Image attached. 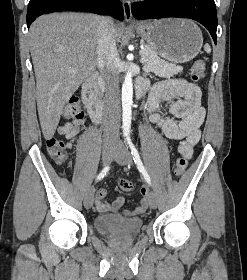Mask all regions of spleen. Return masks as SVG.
<instances>
[{
	"label": "spleen",
	"instance_id": "3e777b00",
	"mask_svg": "<svg viewBox=\"0 0 247 280\" xmlns=\"http://www.w3.org/2000/svg\"><path fill=\"white\" fill-rule=\"evenodd\" d=\"M204 50H205L207 53H210V52H211V48H210V46H209L208 44H206V45L204 46Z\"/></svg>",
	"mask_w": 247,
	"mask_h": 280
}]
</instances>
